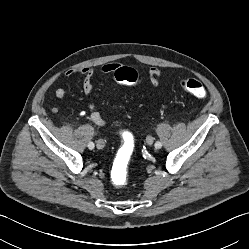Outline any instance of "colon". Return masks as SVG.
Listing matches in <instances>:
<instances>
[{
  "instance_id": "obj_1",
  "label": "colon",
  "mask_w": 249,
  "mask_h": 249,
  "mask_svg": "<svg viewBox=\"0 0 249 249\" xmlns=\"http://www.w3.org/2000/svg\"><path fill=\"white\" fill-rule=\"evenodd\" d=\"M114 78L118 83L126 85H135L138 82L137 72L128 67H120L114 73ZM180 86L186 92L198 98H204L207 94L204 85L195 79H183ZM122 145L118 150L116 159L112 168V179L115 186H123L127 179L129 161L134 150V138L128 131L121 133Z\"/></svg>"
}]
</instances>
